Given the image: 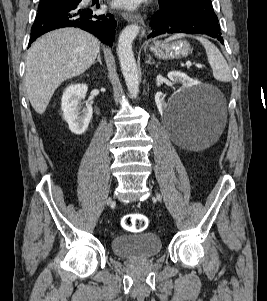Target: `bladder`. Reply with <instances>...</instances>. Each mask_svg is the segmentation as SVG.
<instances>
[{
  "label": "bladder",
  "mask_w": 267,
  "mask_h": 301,
  "mask_svg": "<svg viewBox=\"0 0 267 301\" xmlns=\"http://www.w3.org/2000/svg\"><path fill=\"white\" fill-rule=\"evenodd\" d=\"M112 252L126 259L150 258L160 254L161 238L152 232L117 235L111 239Z\"/></svg>",
  "instance_id": "bladder-1"
}]
</instances>
